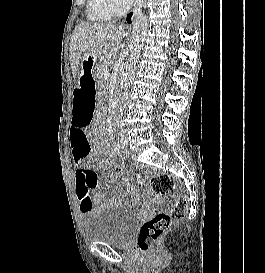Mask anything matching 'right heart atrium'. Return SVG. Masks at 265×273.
Listing matches in <instances>:
<instances>
[{
    "instance_id": "1",
    "label": "right heart atrium",
    "mask_w": 265,
    "mask_h": 273,
    "mask_svg": "<svg viewBox=\"0 0 265 273\" xmlns=\"http://www.w3.org/2000/svg\"><path fill=\"white\" fill-rule=\"evenodd\" d=\"M133 0H102L106 8L113 14L125 12L131 6Z\"/></svg>"
}]
</instances>
